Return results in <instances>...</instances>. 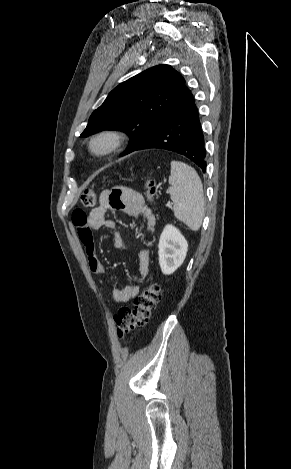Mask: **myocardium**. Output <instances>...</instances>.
<instances>
[{
	"mask_svg": "<svg viewBox=\"0 0 291 469\" xmlns=\"http://www.w3.org/2000/svg\"><path fill=\"white\" fill-rule=\"evenodd\" d=\"M124 142V135L117 129L107 128L94 133L88 140L87 149L95 157H106L118 150ZM104 143L102 148L97 145Z\"/></svg>",
	"mask_w": 291,
	"mask_h": 469,
	"instance_id": "myocardium-1",
	"label": "myocardium"
}]
</instances>
